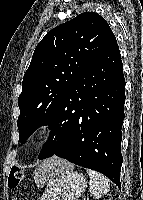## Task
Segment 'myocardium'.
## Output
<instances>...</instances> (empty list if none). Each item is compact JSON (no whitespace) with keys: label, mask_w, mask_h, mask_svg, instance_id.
<instances>
[{"label":"myocardium","mask_w":143,"mask_h":200,"mask_svg":"<svg viewBox=\"0 0 143 200\" xmlns=\"http://www.w3.org/2000/svg\"><path fill=\"white\" fill-rule=\"evenodd\" d=\"M54 132V126L50 122H43L39 124L32 133V140L36 143H41L49 139Z\"/></svg>","instance_id":"myocardium-1"}]
</instances>
